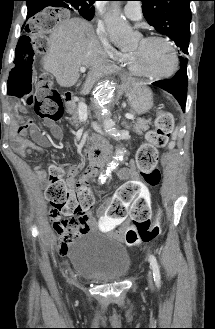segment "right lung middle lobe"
Instances as JSON below:
<instances>
[{
    "label": "right lung middle lobe",
    "mask_w": 215,
    "mask_h": 329,
    "mask_svg": "<svg viewBox=\"0 0 215 329\" xmlns=\"http://www.w3.org/2000/svg\"><path fill=\"white\" fill-rule=\"evenodd\" d=\"M63 8L76 11L87 20H91L94 14L93 5L91 6L78 0H67Z\"/></svg>",
    "instance_id": "1"
}]
</instances>
